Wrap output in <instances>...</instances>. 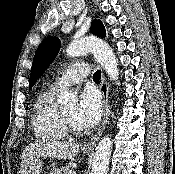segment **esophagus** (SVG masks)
I'll return each instance as SVG.
<instances>
[{"label": "esophagus", "instance_id": "esophagus-1", "mask_svg": "<svg viewBox=\"0 0 175 174\" xmlns=\"http://www.w3.org/2000/svg\"><path fill=\"white\" fill-rule=\"evenodd\" d=\"M100 90H101L102 95H103V104H104L103 120H102V124H101V127L99 128L98 132L88 142H85L82 145V148L86 149V150L94 149L100 136L102 135V133L105 129V125H106L108 117H109V112H110V110H109V89H108L106 77L104 74H102Z\"/></svg>", "mask_w": 175, "mask_h": 174}]
</instances>
